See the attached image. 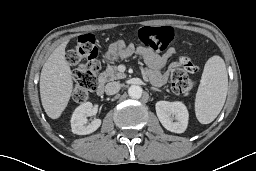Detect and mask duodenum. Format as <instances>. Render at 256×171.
<instances>
[{"mask_svg":"<svg viewBox=\"0 0 256 171\" xmlns=\"http://www.w3.org/2000/svg\"><path fill=\"white\" fill-rule=\"evenodd\" d=\"M105 91V81L101 78L96 86V93L98 95H103Z\"/></svg>","mask_w":256,"mask_h":171,"instance_id":"duodenum-1","label":"duodenum"}]
</instances>
